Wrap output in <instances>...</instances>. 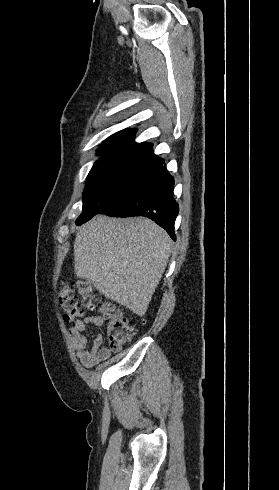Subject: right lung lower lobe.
Wrapping results in <instances>:
<instances>
[{
	"mask_svg": "<svg viewBox=\"0 0 279 490\" xmlns=\"http://www.w3.org/2000/svg\"><path fill=\"white\" fill-rule=\"evenodd\" d=\"M150 178L126 186L104 202L99 214L112 217L146 216L164 228L175 240L174 223L178 204L173 197L174 179L163 166Z\"/></svg>",
	"mask_w": 279,
	"mask_h": 490,
	"instance_id": "98d812e1",
	"label": "right lung lower lobe"
}]
</instances>
